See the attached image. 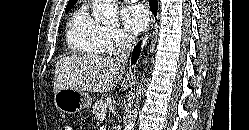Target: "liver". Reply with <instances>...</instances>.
Instances as JSON below:
<instances>
[{"mask_svg":"<svg viewBox=\"0 0 249 130\" xmlns=\"http://www.w3.org/2000/svg\"><path fill=\"white\" fill-rule=\"evenodd\" d=\"M124 65L117 59L98 55H73L57 61L55 68L54 93L62 89L83 92H109L121 80ZM130 75L125 74L122 91L129 87Z\"/></svg>","mask_w":249,"mask_h":130,"instance_id":"6515ba94","label":"liver"}]
</instances>
